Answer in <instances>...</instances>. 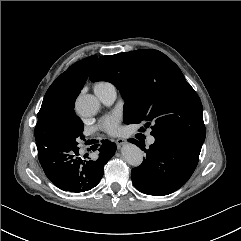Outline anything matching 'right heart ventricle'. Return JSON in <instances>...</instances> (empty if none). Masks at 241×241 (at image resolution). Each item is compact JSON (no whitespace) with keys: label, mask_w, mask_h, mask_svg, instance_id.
Listing matches in <instances>:
<instances>
[{"label":"right heart ventricle","mask_w":241,"mask_h":241,"mask_svg":"<svg viewBox=\"0 0 241 241\" xmlns=\"http://www.w3.org/2000/svg\"><path fill=\"white\" fill-rule=\"evenodd\" d=\"M108 85H111L110 83H107V82H98L95 84V87L94 88H97V87H104V86H108Z\"/></svg>","instance_id":"right-heart-ventricle-1"}]
</instances>
